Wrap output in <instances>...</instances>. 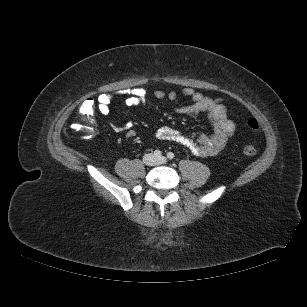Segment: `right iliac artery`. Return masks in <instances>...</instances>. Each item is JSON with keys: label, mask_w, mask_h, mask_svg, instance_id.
Wrapping results in <instances>:
<instances>
[{"label": "right iliac artery", "mask_w": 307, "mask_h": 307, "mask_svg": "<svg viewBox=\"0 0 307 307\" xmlns=\"http://www.w3.org/2000/svg\"><path fill=\"white\" fill-rule=\"evenodd\" d=\"M161 155H162V153H161L160 150H155V151H154V157H155V158H160Z\"/></svg>", "instance_id": "1"}]
</instances>
